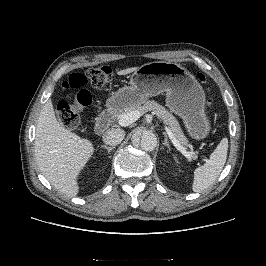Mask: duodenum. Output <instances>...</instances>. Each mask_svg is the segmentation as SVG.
<instances>
[{
    "label": "duodenum",
    "mask_w": 266,
    "mask_h": 266,
    "mask_svg": "<svg viewBox=\"0 0 266 266\" xmlns=\"http://www.w3.org/2000/svg\"><path fill=\"white\" fill-rule=\"evenodd\" d=\"M114 115L115 112L111 108L106 109L99 114L95 123V131L97 134L100 135L106 132L112 122Z\"/></svg>",
    "instance_id": "obj_1"
}]
</instances>
